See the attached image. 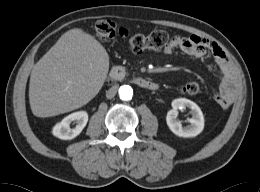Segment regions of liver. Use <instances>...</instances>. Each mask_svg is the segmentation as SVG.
Instances as JSON below:
<instances>
[{
	"label": "liver",
	"instance_id": "liver-1",
	"mask_svg": "<svg viewBox=\"0 0 260 192\" xmlns=\"http://www.w3.org/2000/svg\"><path fill=\"white\" fill-rule=\"evenodd\" d=\"M109 71V55L80 28L65 32L34 65L29 103L37 117H51L86 105L101 90Z\"/></svg>",
	"mask_w": 260,
	"mask_h": 192
}]
</instances>
